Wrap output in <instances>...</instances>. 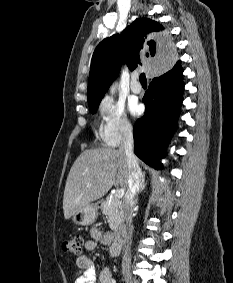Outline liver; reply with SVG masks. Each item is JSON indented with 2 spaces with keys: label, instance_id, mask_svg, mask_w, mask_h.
<instances>
[{
  "label": "liver",
  "instance_id": "liver-1",
  "mask_svg": "<svg viewBox=\"0 0 233 283\" xmlns=\"http://www.w3.org/2000/svg\"><path fill=\"white\" fill-rule=\"evenodd\" d=\"M128 176L127 158L120 150L101 148L83 151L67 177L63 197L65 219L100 199L113 185L126 190Z\"/></svg>",
  "mask_w": 233,
  "mask_h": 283
}]
</instances>
